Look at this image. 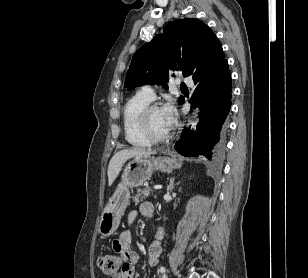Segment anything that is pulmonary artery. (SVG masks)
Here are the masks:
<instances>
[{
    "label": "pulmonary artery",
    "instance_id": "e3ab8cb5",
    "mask_svg": "<svg viewBox=\"0 0 308 278\" xmlns=\"http://www.w3.org/2000/svg\"><path fill=\"white\" fill-rule=\"evenodd\" d=\"M182 82L187 85L192 87L194 85L193 80L189 77H185L182 79ZM139 94L142 95L144 98H146L149 101H152L155 98V93L154 90L150 86H143Z\"/></svg>",
    "mask_w": 308,
    "mask_h": 278
}]
</instances>
